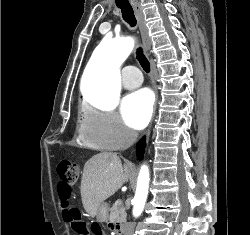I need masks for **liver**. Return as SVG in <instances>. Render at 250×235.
Instances as JSON below:
<instances>
[{
	"mask_svg": "<svg viewBox=\"0 0 250 235\" xmlns=\"http://www.w3.org/2000/svg\"><path fill=\"white\" fill-rule=\"evenodd\" d=\"M131 168V164L123 166L117 154L109 152L99 153L85 163L80 191L83 207L92 218L99 205L128 181Z\"/></svg>",
	"mask_w": 250,
	"mask_h": 235,
	"instance_id": "1",
	"label": "liver"
}]
</instances>
